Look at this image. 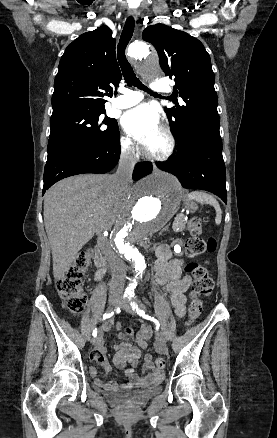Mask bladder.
<instances>
[{
	"instance_id": "obj_1",
	"label": "bladder",
	"mask_w": 277,
	"mask_h": 438,
	"mask_svg": "<svg viewBox=\"0 0 277 438\" xmlns=\"http://www.w3.org/2000/svg\"><path fill=\"white\" fill-rule=\"evenodd\" d=\"M161 380H157L156 382L150 381L148 385L144 388H140L137 390L119 392L115 396L116 404H124V405H142L146 402L152 394L159 387Z\"/></svg>"
}]
</instances>
